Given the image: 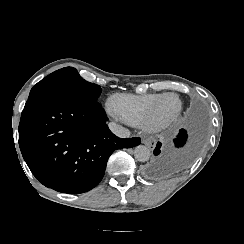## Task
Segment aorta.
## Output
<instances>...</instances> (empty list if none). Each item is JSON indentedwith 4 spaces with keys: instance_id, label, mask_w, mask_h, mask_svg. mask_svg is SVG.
Returning a JSON list of instances; mask_svg holds the SVG:
<instances>
[{
    "instance_id": "aorta-1",
    "label": "aorta",
    "mask_w": 244,
    "mask_h": 244,
    "mask_svg": "<svg viewBox=\"0 0 244 244\" xmlns=\"http://www.w3.org/2000/svg\"><path fill=\"white\" fill-rule=\"evenodd\" d=\"M150 150L144 146V145H139L135 148L134 150V157L137 161L140 162H146L150 158Z\"/></svg>"
}]
</instances>
